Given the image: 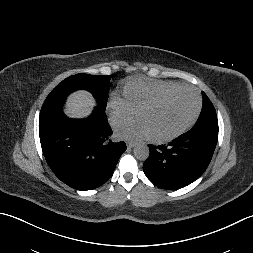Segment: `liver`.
Instances as JSON below:
<instances>
[{
	"instance_id": "obj_1",
	"label": "liver",
	"mask_w": 253,
	"mask_h": 253,
	"mask_svg": "<svg viewBox=\"0 0 253 253\" xmlns=\"http://www.w3.org/2000/svg\"><path fill=\"white\" fill-rule=\"evenodd\" d=\"M94 105L95 100L91 94L86 91H78L68 97L65 111L70 117L82 118L91 113Z\"/></svg>"
}]
</instances>
